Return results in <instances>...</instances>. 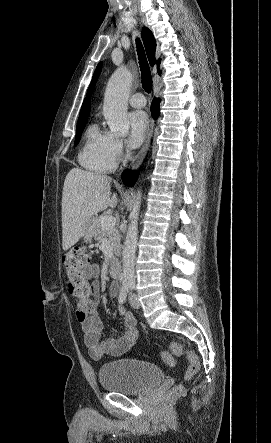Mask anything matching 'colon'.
Listing matches in <instances>:
<instances>
[{"mask_svg": "<svg viewBox=\"0 0 271 443\" xmlns=\"http://www.w3.org/2000/svg\"><path fill=\"white\" fill-rule=\"evenodd\" d=\"M92 258V252L85 246H79L70 249L62 256L63 272L68 280L69 293L79 302L84 305L85 310L91 313L95 309L93 303V288L88 279L84 276V269L90 265ZM171 354L168 352H162L161 357L165 364L173 366L174 357L185 356L188 360V368L185 373V378L190 379L194 377L199 369L200 362L197 355L185 348L179 342H172L170 344ZM182 387L177 386L168 392L166 396L167 401H172L181 392Z\"/></svg>", "mask_w": 271, "mask_h": 443, "instance_id": "colon-1", "label": "colon"}]
</instances>
